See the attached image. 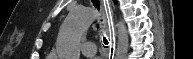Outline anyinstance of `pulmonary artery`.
<instances>
[{
	"label": "pulmonary artery",
	"mask_w": 193,
	"mask_h": 59,
	"mask_svg": "<svg viewBox=\"0 0 193 59\" xmlns=\"http://www.w3.org/2000/svg\"><path fill=\"white\" fill-rule=\"evenodd\" d=\"M97 52L96 45L93 42H86L82 46V53L87 56L91 57L94 56Z\"/></svg>",
	"instance_id": "pulmonary-artery-1"
}]
</instances>
